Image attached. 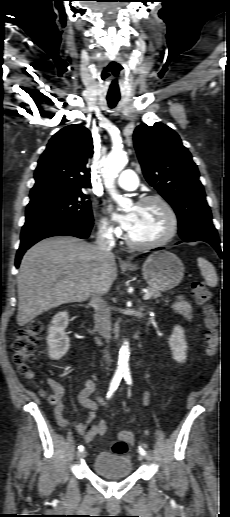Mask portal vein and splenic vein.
<instances>
[{"instance_id":"portal-vein-and-splenic-vein-1","label":"portal vein and splenic vein","mask_w":230,"mask_h":517,"mask_svg":"<svg viewBox=\"0 0 230 517\" xmlns=\"http://www.w3.org/2000/svg\"><path fill=\"white\" fill-rule=\"evenodd\" d=\"M150 297H151V293H150V292H147V293H145V295L143 296V299H144V300H148Z\"/></svg>"}]
</instances>
